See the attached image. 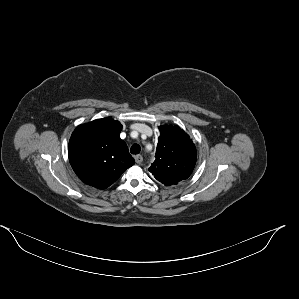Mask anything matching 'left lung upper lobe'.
<instances>
[{"label":"left lung upper lobe","mask_w":299,"mask_h":299,"mask_svg":"<svg viewBox=\"0 0 299 299\" xmlns=\"http://www.w3.org/2000/svg\"><path fill=\"white\" fill-rule=\"evenodd\" d=\"M160 136L155 161L149 171L161 183L186 180L196 164V148L180 127L159 126Z\"/></svg>","instance_id":"1"}]
</instances>
